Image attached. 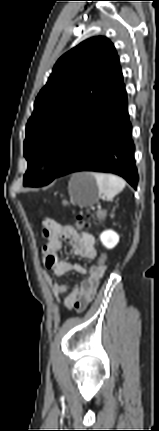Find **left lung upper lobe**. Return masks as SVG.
I'll return each instance as SVG.
<instances>
[{"mask_svg": "<svg viewBox=\"0 0 159 431\" xmlns=\"http://www.w3.org/2000/svg\"><path fill=\"white\" fill-rule=\"evenodd\" d=\"M123 85L119 57L106 37L85 40L60 57L26 125L24 186L47 185L56 177L80 129ZM46 153L56 168L37 173Z\"/></svg>", "mask_w": 159, "mask_h": 431, "instance_id": "5c2ea615", "label": "left lung upper lobe"}]
</instances>
